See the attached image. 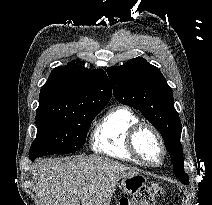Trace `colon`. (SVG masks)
I'll list each match as a JSON object with an SVG mask.
<instances>
[{
  "instance_id": "5ec220e1",
  "label": "colon",
  "mask_w": 212,
  "mask_h": 205,
  "mask_svg": "<svg viewBox=\"0 0 212 205\" xmlns=\"http://www.w3.org/2000/svg\"><path fill=\"white\" fill-rule=\"evenodd\" d=\"M165 190L157 185L151 184L141 188L132 198H123L118 205H153L157 198L164 196Z\"/></svg>"
}]
</instances>
